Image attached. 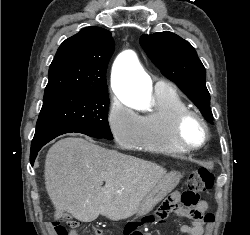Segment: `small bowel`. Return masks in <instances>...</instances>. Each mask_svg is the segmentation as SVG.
<instances>
[{
  "label": "small bowel",
  "mask_w": 250,
  "mask_h": 235,
  "mask_svg": "<svg viewBox=\"0 0 250 235\" xmlns=\"http://www.w3.org/2000/svg\"><path fill=\"white\" fill-rule=\"evenodd\" d=\"M207 203L205 201H200L196 207L192 210H183L181 211L182 214H190L192 211L198 213V217H195L191 224H182L180 226V231L183 235H204L205 234V227L206 223L203 219L202 214L207 210ZM172 209V204L170 201H165L161 207L159 212L158 222H163L167 217L168 213ZM141 232L133 227L130 228L125 235H140ZM72 235H77L76 232H73ZM97 235H101L99 231H97Z\"/></svg>",
  "instance_id": "obj_1"
}]
</instances>
